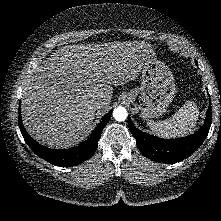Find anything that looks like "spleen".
<instances>
[{"label":"spleen","mask_w":221,"mask_h":221,"mask_svg":"<svg viewBox=\"0 0 221 221\" xmlns=\"http://www.w3.org/2000/svg\"><path fill=\"white\" fill-rule=\"evenodd\" d=\"M199 117V109L187 101L171 118L160 122L147 121V125L158 136L177 138L192 132Z\"/></svg>","instance_id":"3e777b00"}]
</instances>
